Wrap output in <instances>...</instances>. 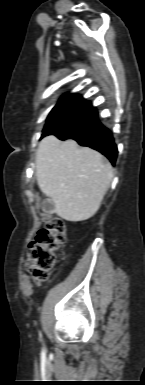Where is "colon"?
I'll return each instance as SVG.
<instances>
[{
  "instance_id": "colon-1",
  "label": "colon",
  "mask_w": 145,
  "mask_h": 385,
  "mask_svg": "<svg viewBox=\"0 0 145 385\" xmlns=\"http://www.w3.org/2000/svg\"><path fill=\"white\" fill-rule=\"evenodd\" d=\"M65 239L66 228L62 219L54 217L43 222L27 253L28 269L34 282L40 283L49 278Z\"/></svg>"
}]
</instances>
